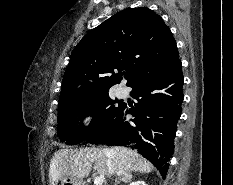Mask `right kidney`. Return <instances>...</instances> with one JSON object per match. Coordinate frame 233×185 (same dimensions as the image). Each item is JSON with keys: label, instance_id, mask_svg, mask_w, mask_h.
<instances>
[{"label": "right kidney", "instance_id": "ca27d5eb", "mask_svg": "<svg viewBox=\"0 0 233 185\" xmlns=\"http://www.w3.org/2000/svg\"><path fill=\"white\" fill-rule=\"evenodd\" d=\"M130 185H147V184H145V182L142 180H138V181L130 183Z\"/></svg>", "mask_w": 233, "mask_h": 185}]
</instances>
